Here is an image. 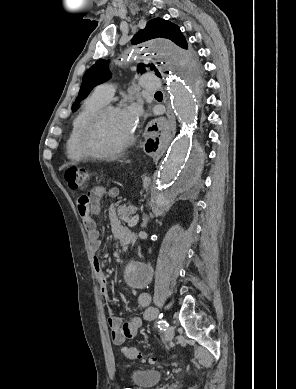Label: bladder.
I'll return each mask as SVG.
<instances>
[{
	"label": "bladder",
	"mask_w": 296,
	"mask_h": 389,
	"mask_svg": "<svg viewBox=\"0 0 296 389\" xmlns=\"http://www.w3.org/2000/svg\"><path fill=\"white\" fill-rule=\"evenodd\" d=\"M161 379L158 371L150 369H136L131 374V381L136 389H148L155 386Z\"/></svg>",
	"instance_id": "obj_1"
}]
</instances>
